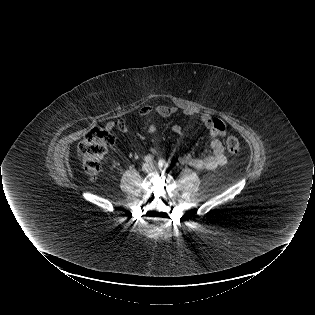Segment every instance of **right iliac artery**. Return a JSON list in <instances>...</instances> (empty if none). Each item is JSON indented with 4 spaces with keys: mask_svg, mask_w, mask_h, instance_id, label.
<instances>
[{
    "mask_svg": "<svg viewBox=\"0 0 315 315\" xmlns=\"http://www.w3.org/2000/svg\"><path fill=\"white\" fill-rule=\"evenodd\" d=\"M153 158H154V157L149 154V155L145 156L144 161H145V162H152V161H153Z\"/></svg>",
    "mask_w": 315,
    "mask_h": 315,
    "instance_id": "1",
    "label": "right iliac artery"
}]
</instances>
